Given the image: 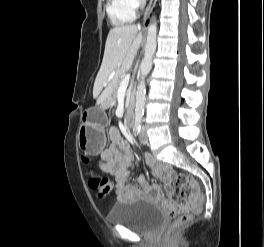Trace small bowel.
<instances>
[{
    "mask_svg": "<svg viewBox=\"0 0 264 247\" xmlns=\"http://www.w3.org/2000/svg\"><path fill=\"white\" fill-rule=\"evenodd\" d=\"M109 138L111 143L101 154L100 168L114 177V186L118 199L121 202H125L143 195L157 202H162L164 200V195L161 189L151 186L144 176L139 178V185L142 191L127 184L132 161L131 150L122 141L116 128H111L109 130ZM146 161L152 167L154 175L162 181L164 193L171 199L173 190L170 181L175 175V171L168 164L155 161L148 155L146 156Z\"/></svg>",
    "mask_w": 264,
    "mask_h": 247,
    "instance_id": "small-bowel-1",
    "label": "small bowel"
}]
</instances>
